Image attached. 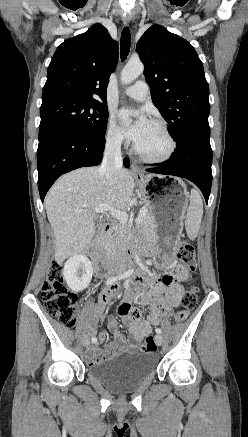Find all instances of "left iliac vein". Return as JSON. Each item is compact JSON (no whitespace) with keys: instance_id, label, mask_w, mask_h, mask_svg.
I'll return each instance as SVG.
<instances>
[{"instance_id":"4c4485c4","label":"left iliac vein","mask_w":248,"mask_h":437,"mask_svg":"<svg viewBox=\"0 0 248 437\" xmlns=\"http://www.w3.org/2000/svg\"><path fill=\"white\" fill-rule=\"evenodd\" d=\"M155 342H156V344L159 345V346L162 344V342H163V338H162V335H161V334H156V335H155Z\"/></svg>"}]
</instances>
